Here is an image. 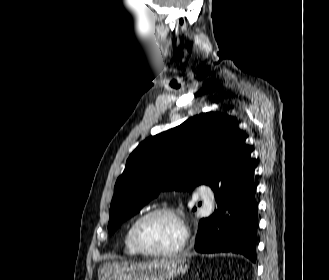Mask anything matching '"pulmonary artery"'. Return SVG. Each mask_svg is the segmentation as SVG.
I'll list each match as a JSON object with an SVG mask.
<instances>
[{"instance_id":"obj_1","label":"pulmonary artery","mask_w":329,"mask_h":280,"mask_svg":"<svg viewBox=\"0 0 329 280\" xmlns=\"http://www.w3.org/2000/svg\"><path fill=\"white\" fill-rule=\"evenodd\" d=\"M209 191H210V188L208 186H203L201 188V195L204 197V198H208L209 196Z\"/></svg>"}]
</instances>
